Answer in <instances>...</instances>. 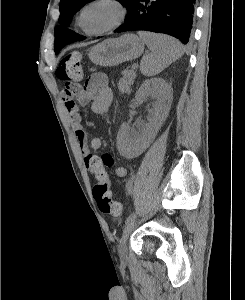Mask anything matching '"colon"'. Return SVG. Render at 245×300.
I'll return each mask as SVG.
<instances>
[{"instance_id": "1", "label": "colon", "mask_w": 245, "mask_h": 300, "mask_svg": "<svg viewBox=\"0 0 245 300\" xmlns=\"http://www.w3.org/2000/svg\"><path fill=\"white\" fill-rule=\"evenodd\" d=\"M56 76L64 83V99H71L76 95L81 89L80 81L83 77L80 54L73 51L65 55L58 64ZM93 196L102 213L113 216L121 213V203L111 199L109 190H94L93 188Z\"/></svg>"}]
</instances>
